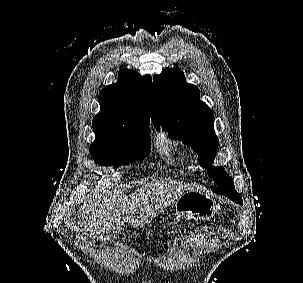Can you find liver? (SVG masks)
Here are the masks:
<instances>
[{
    "instance_id": "liver-1",
    "label": "liver",
    "mask_w": 303,
    "mask_h": 283,
    "mask_svg": "<svg viewBox=\"0 0 303 283\" xmlns=\"http://www.w3.org/2000/svg\"><path fill=\"white\" fill-rule=\"evenodd\" d=\"M186 191L178 182L162 181L148 182L129 196L98 188L81 207L77 225L91 239L114 232L123 222L143 227Z\"/></svg>"
}]
</instances>
